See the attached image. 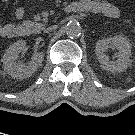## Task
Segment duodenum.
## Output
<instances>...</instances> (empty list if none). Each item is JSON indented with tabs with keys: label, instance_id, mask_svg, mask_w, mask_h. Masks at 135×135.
<instances>
[{
	"label": "duodenum",
	"instance_id": "obj_1",
	"mask_svg": "<svg viewBox=\"0 0 135 135\" xmlns=\"http://www.w3.org/2000/svg\"><path fill=\"white\" fill-rule=\"evenodd\" d=\"M23 33V34H25V35H27L28 34V31L27 30H25L24 28H20L19 29V33Z\"/></svg>",
	"mask_w": 135,
	"mask_h": 135
}]
</instances>
